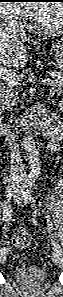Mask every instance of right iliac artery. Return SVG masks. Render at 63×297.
<instances>
[{
    "label": "right iliac artery",
    "instance_id": "right-iliac-artery-1",
    "mask_svg": "<svg viewBox=\"0 0 63 297\" xmlns=\"http://www.w3.org/2000/svg\"><path fill=\"white\" fill-rule=\"evenodd\" d=\"M11 196H12V193H11V191L9 190V191H8V195H7L8 200H10ZM4 213H6V215H4V216H5L4 218H6L5 221H9V220H10V215H11V210H9V208L5 207ZM6 252H7L6 248L2 249V250H1V257H2Z\"/></svg>",
    "mask_w": 63,
    "mask_h": 297
}]
</instances>
